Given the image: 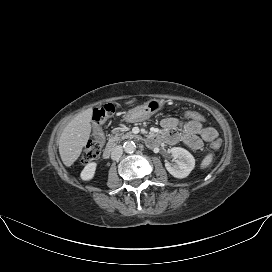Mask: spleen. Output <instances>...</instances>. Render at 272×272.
<instances>
[{
  "label": "spleen",
  "instance_id": "obj_1",
  "mask_svg": "<svg viewBox=\"0 0 272 272\" xmlns=\"http://www.w3.org/2000/svg\"><path fill=\"white\" fill-rule=\"evenodd\" d=\"M212 160H213V155L212 154H208L203 159V161L201 163V169H204V168L208 167L211 164Z\"/></svg>",
  "mask_w": 272,
  "mask_h": 272
}]
</instances>
